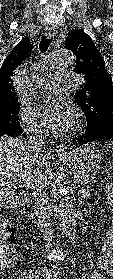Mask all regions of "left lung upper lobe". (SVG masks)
Returning a JSON list of instances; mask_svg holds the SVG:
<instances>
[{"label":"left lung upper lobe","instance_id":"1","mask_svg":"<svg viewBox=\"0 0 113 279\" xmlns=\"http://www.w3.org/2000/svg\"><path fill=\"white\" fill-rule=\"evenodd\" d=\"M65 47L76 55L75 72L84 77L74 99L85 113L87 127L97 128L104 118L113 119L112 78L105 69L102 55L84 31H72Z\"/></svg>","mask_w":113,"mask_h":279}]
</instances>
